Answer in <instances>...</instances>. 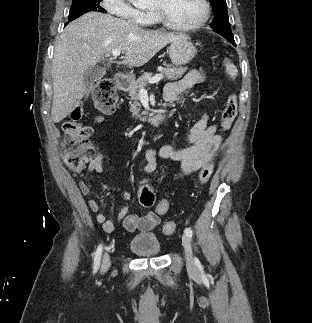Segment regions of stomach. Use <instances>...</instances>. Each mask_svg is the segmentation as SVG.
Returning a JSON list of instances; mask_svg holds the SVG:
<instances>
[{
  "instance_id": "0dacf381",
  "label": "stomach",
  "mask_w": 312,
  "mask_h": 323,
  "mask_svg": "<svg viewBox=\"0 0 312 323\" xmlns=\"http://www.w3.org/2000/svg\"><path fill=\"white\" fill-rule=\"evenodd\" d=\"M169 58L174 66H184L189 64L197 54V50L190 42L187 36H183L180 40H174L168 48Z\"/></svg>"
}]
</instances>
